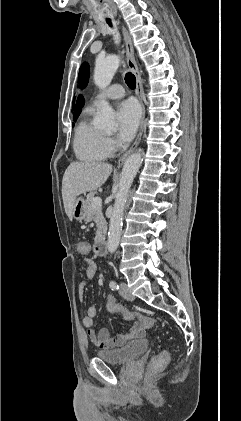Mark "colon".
Segmentation results:
<instances>
[{
	"label": "colon",
	"mask_w": 241,
	"mask_h": 421,
	"mask_svg": "<svg viewBox=\"0 0 241 421\" xmlns=\"http://www.w3.org/2000/svg\"><path fill=\"white\" fill-rule=\"evenodd\" d=\"M76 250L80 255H87L90 251V245L87 241L80 240L76 243ZM106 307L107 310L111 313L121 314L125 320H136L137 322H140L147 327H150L155 323V319L127 309L122 304L117 302V300L112 295L107 296ZM168 359V352H160L152 358L150 364L151 369L153 371L162 369L167 364Z\"/></svg>",
	"instance_id": "obj_1"
}]
</instances>
